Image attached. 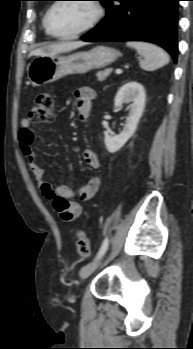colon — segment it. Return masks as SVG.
I'll return each instance as SVG.
<instances>
[{
    "instance_id": "obj_1",
    "label": "colon",
    "mask_w": 193,
    "mask_h": 349,
    "mask_svg": "<svg viewBox=\"0 0 193 349\" xmlns=\"http://www.w3.org/2000/svg\"><path fill=\"white\" fill-rule=\"evenodd\" d=\"M55 118V105L53 97L50 93H42L38 95L31 110L28 113L27 119L30 123H47L52 122ZM75 247L77 253L82 258H89L91 248L86 234L82 230H77L75 233Z\"/></svg>"
}]
</instances>
